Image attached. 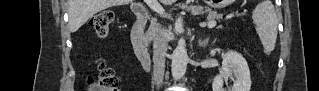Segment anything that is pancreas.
I'll return each instance as SVG.
<instances>
[{"mask_svg":"<svg viewBox=\"0 0 319 91\" xmlns=\"http://www.w3.org/2000/svg\"><path fill=\"white\" fill-rule=\"evenodd\" d=\"M188 10L192 11V10H199V7H189ZM208 13H209V19H220L221 18V15L218 14L217 12H214V11H211V10H207ZM221 26H219L220 28ZM158 30V25L156 24V20L155 19H152L151 20V25L148 29V32H147V38L149 40H152L155 38L156 36V32Z\"/></svg>","mask_w":319,"mask_h":91,"instance_id":"pancreas-1","label":"pancreas"}]
</instances>
